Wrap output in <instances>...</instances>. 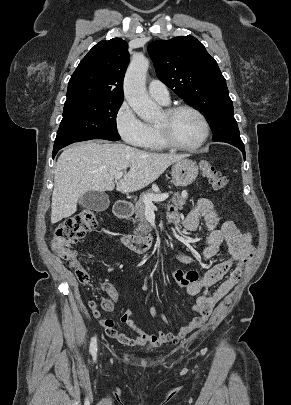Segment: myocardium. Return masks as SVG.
I'll use <instances>...</instances> for the list:
<instances>
[{
	"instance_id": "1",
	"label": "myocardium",
	"mask_w": 291,
	"mask_h": 405,
	"mask_svg": "<svg viewBox=\"0 0 291 405\" xmlns=\"http://www.w3.org/2000/svg\"><path fill=\"white\" fill-rule=\"evenodd\" d=\"M182 110H189L193 113H195L201 120L202 124H203V136L201 138V140L194 144V145H183L178 143L172 136V132H171V120L173 119V117L180 111ZM164 115H165V121L163 124H157V128L160 134V137L163 141V143L172 149H176V150H181V151H194L197 150L199 148H201L202 146H204L206 144V142L209 139L210 136V124L209 121L207 119V117L205 116V114L200 111L198 108L189 105V104H177V105H172L167 107L164 110Z\"/></svg>"
}]
</instances>
